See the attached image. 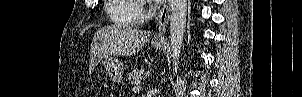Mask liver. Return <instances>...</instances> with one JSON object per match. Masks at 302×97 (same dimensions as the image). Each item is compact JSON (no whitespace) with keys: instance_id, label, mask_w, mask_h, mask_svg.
Returning <instances> with one entry per match:
<instances>
[{"instance_id":"obj_1","label":"liver","mask_w":302,"mask_h":97,"mask_svg":"<svg viewBox=\"0 0 302 97\" xmlns=\"http://www.w3.org/2000/svg\"><path fill=\"white\" fill-rule=\"evenodd\" d=\"M150 39V32L128 25H114L96 31L90 50V72L100 59L113 54L131 56Z\"/></svg>"}]
</instances>
